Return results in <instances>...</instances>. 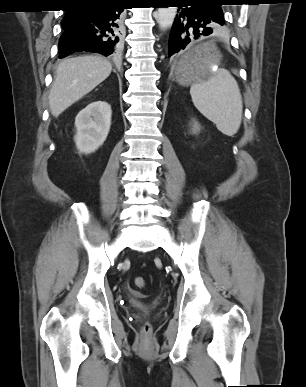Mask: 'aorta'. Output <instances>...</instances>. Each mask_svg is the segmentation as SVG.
<instances>
[{"mask_svg": "<svg viewBox=\"0 0 306 387\" xmlns=\"http://www.w3.org/2000/svg\"><path fill=\"white\" fill-rule=\"evenodd\" d=\"M177 13V7H159L158 8V24L161 30H167L174 22Z\"/></svg>", "mask_w": 306, "mask_h": 387, "instance_id": "762f6f07", "label": "aorta"}]
</instances>
